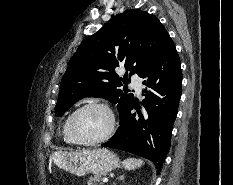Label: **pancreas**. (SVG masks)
Masks as SVG:
<instances>
[{"label":"pancreas","instance_id":"obj_1","mask_svg":"<svg viewBox=\"0 0 233 185\" xmlns=\"http://www.w3.org/2000/svg\"><path fill=\"white\" fill-rule=\"evenodd\" d=\"M101 176L100 175H95V176H91L88 180H87V185H98V183L100 182ZM100 185H102V183H100Z\"/></svg>","mask_w":233,"mask_h":185}]
</instances>
